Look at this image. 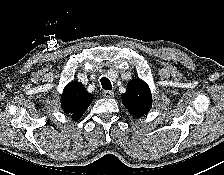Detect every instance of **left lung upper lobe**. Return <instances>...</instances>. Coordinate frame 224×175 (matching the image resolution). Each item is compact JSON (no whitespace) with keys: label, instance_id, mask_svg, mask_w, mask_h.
I'll list each match as a JSON object with an SVG mask.
<instances>
[{"label":"left lung upper lobe","instance_id":"left-lung-upper-lobe-1","mask_svg":"<svg viewBox=\"0 0 224 175\" xmlns=\"http://www.w3.org/2000/svg\"><path fill=\"white\" fill-rule=\"evenodd\" d=\"M122 103L128 109L129 113L140 118L152 107V95L148 85L140 80L133 79L128 83L126 92L122 94Z\"/></svg>","mask_w":224,"mask_h":175}]
</instances>
